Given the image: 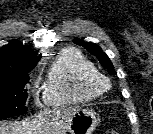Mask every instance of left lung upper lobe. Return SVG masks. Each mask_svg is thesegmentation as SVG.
Listing matches in <instances>:
<instances>
[{
    "label": "left lung upper lobe",
    "mask_w": 153,
    "mask_h": 134,
    "mask_svg": "<svg viewBox=\"0 0 153 134\" xmlns=\"http://www.w3.org/2000/svg\"><path fill=\"white\" fill-rule=\"evenodd\" d=\"M73 42L77 45H82L85 49H87L91 54L98 57L99 62L111 73L114 74V67L109 59V57L102 52L100 46L91 43V42H82L81 40H73Z\"/></svg>",
    "instance_id": "1"
}]
</instances>
